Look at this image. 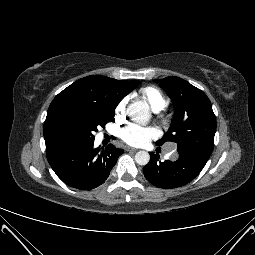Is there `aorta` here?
<instances>
[{"label":"aorta","instance_id":"obj_1","mask_svg":"<svg viewBox=\"0 0 255 255\" xmlns=\"http://www.w3.org/2000/svg\"><path fill=\"white\" fill-rule=\"evenodd\" d=\"M127 114L132 121L143 125L148 123L151 116L148 105L140 101L130 104L127 108ZM135 161L137 164L145 166L150 161V155L146 151H139L135 155Z\"/></svg>","mask_w":255,"mask_h":255}]
</instances>
